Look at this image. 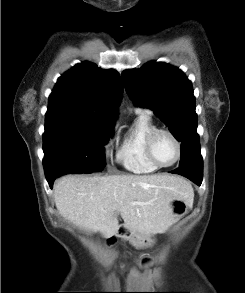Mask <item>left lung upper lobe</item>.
<instances>
[{"mask_svg":"<svg viewBox=\"0 0 245 293\" xmlns=\"http://www.w3.org/2000/svg\"><path fill=\"white\" fill-rule=\"evenodd\" d=\"M124 86L137 106L148 107L181 142L180 167L203 171L192 83L176 67L149 62L122 72Z\"/></svg>","mask_w":245,"mask_h":293,"instance_id":"left-lung-upper-lobe-1","label":"left lung upper lobe"}]
</instances>
